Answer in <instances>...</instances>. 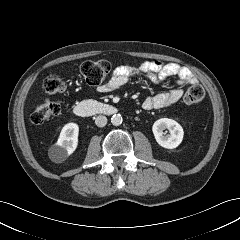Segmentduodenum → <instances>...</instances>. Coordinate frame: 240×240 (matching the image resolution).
I'll return each mask as SVG.
<instances>
[{"instance_id":"obj_1","label":"duodenum","mask_w":240,"mask_h":240,"mask_svg":"<svg viewBox=\"0 0 240 240\" xmlns=\"http://www.w3.org/2000/svg\"><path fill=\"white\" fill-rule=\"evenodd\" d=\"M73 111L76 116L86 117L95 114L113 115L117 112V109L115 106L108 103L85 100L76 104Z\"/></svg>"}]
</instances>
